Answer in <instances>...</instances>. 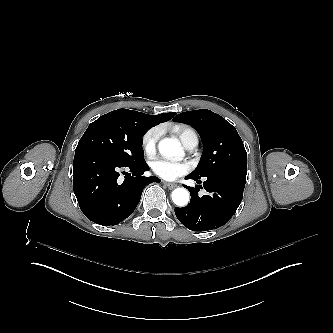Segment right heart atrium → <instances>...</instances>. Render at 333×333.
<instances>
[{
    "mask_svg": "<svg viewBox=\"0 0 333 333\" xmlns=\"http://www.w3.org/2000/svg\"><path fill=\"white\" fill-rule=\"evenodd\" d=\"M158 135L155 131H149L142 139V147L146 155L153 156L156 153Z\"/></svg>",
    "mask_w": 333,
    "mask_h": 333,
    "instance_id": "obj_1",
    "label": "right heart atrium"
}]
</instances>
